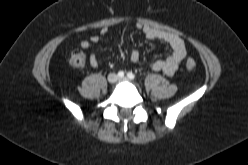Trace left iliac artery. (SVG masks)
Segmentation results:
<instances>
[{
    "label": "left iliac artery",
    "mask_w": 248,
    "mask_h": 165,
    "mask_svg": "<svg viewBox=\"0 0 248 165\" xmlns=\"http://www.w3.org/2000/svg\"><path fill=\"white\" fill-rule=\"evenodd\" d=\"M127 77H128L129 79H134V78H135V75H134L132 72H129V73L127 74Z\"/></svg>",
    "instance_id": "left-iliac-artery-1"
}]
</instances>
